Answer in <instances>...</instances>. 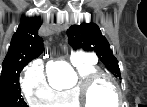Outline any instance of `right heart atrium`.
I'll return each mask as SVG.
<instances>
[{"label":"right heart atrium","instance_id":"obj_1","mask_svg":"<svg viewBox=\"0 0 147 107\" xmlns=\"http://www.w3.org/2000/svg\"><path fill=\"white\" fill-rule=\"evenodd\" d=\"M21 89L31 106L43 107L54 102L55 91L49 85L43 65L39 61L30 64L21 80Z\"/></svg>","mask_w":147,"mask_h":107}]
</instances>
